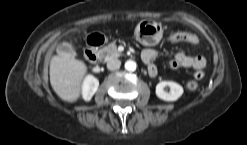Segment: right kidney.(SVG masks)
Here are the masks:
<instances>
[{
  "instance_id": "right-kidney-1",
  "label": "right kidney",
  "mask_w": 247,
  "mask_h": 145,
  "mask_svg": "<svg viewBox=\"0 0 247 145\" xmlns=\"http://www.w3.org/2000/svg\"><path fill=\"white\" fill-rule=\"evenodd\" d=\"M99 86L97 78L89 75L85 78L82 85V96L86 101L91 100L92 96L96 93Z\"/></svg>"
}]
</instances>
